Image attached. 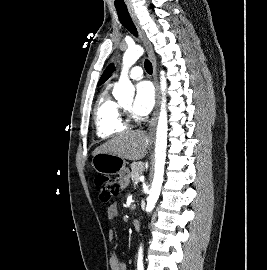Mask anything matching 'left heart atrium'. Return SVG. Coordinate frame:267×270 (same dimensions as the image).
Returning <instances> with one entry per match:
<instances>
[{
    "instance_id": "obj_1",
    "label": "left heart atrium",
    "mask_w": 267,
    "mask_h": 270,
    "mask_svg": "<svg viewBox=\"0 0 267 270\" xmlns=\"http://www.w3.org/2000/svg\"><path fill=\"white\" fill-rule=\"evenodd\" d=\"M155 102V93L152 84L149 81H141L136 86V95L132 110L136 115H147L153 108Z\"/></svg>"
}]
</instances>
